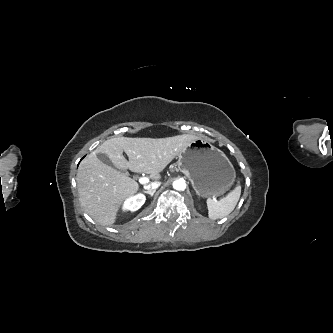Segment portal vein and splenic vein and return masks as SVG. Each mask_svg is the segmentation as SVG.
<instances>
[{"mask_svg": "<svg viewBox=\"0 0 333 333\" xmlns=\"http://www.w3.org/2000/svg\"><path fill=\"white\" fill-rule=\"evenodd\" d=\"M149 182V179L147 177H140L139 178V183L140 184H146Z\"/></svg>", "mask_w": 333, "mask_h": 333, "instance_id": "1", "label": "portal vein and splenic vein"}]
</instances>
